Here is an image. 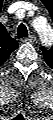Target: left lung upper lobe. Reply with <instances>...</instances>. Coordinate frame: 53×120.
Instances as JSON below:
<instances>
[{"label":"left lung upper lobe","instance_id":"1","mask_svg":"<svg viewBox=\"0 0 53 120\" xmlns=\"http://www.w3.org/2000/svg\"><path fill=\"white\" fill-rule=\"evenodd\" d=\"M45 5L47 6V8L49 7L47 2H45ZM40 49L44 54V59H45L46 63L49 66H51L53 64V48H51L50 50H47L46 48L41 47Z\"/></svg>","mask_w":53,"mask_h":120}]
</instances>
